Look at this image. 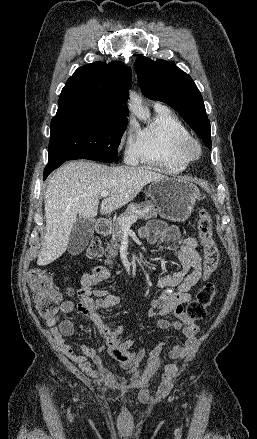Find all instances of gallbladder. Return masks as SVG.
Segmentation results:
<instances>
[{
    "label": "gallbladder",
    "instance_id": "1",
    "mask_svg": "<svg viewBox=\"0 0 257 439\" xmlns=\"http://www.w3.org/2000/svg\"><path fill=\"white\" fill-rule=\"evenodd\" d=\"M93 232L92 219L78 218L70 232L68 252L72 255L80 254L88 245Z\"/></svg>",
    "mask_w": 257,
    "mask_h": 439
}]
</instances>
